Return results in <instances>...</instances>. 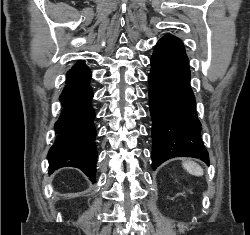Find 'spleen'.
<instances>
[{
    "instance_id": "obj_1",
    "label": "spleen",
    "mask_w": 250,
    "mask_h": 235,
    "mask_svg": "<svg viewBox=\"0 0 250 235\" xmlns=\"http://www.w3.org/2000/svg\"><path fill=\"white\" fill-rule=\"evenodd\" d=\"M182 165H183V168L192 175L202 176L204 173L203 169L195 162L186 161V162H183Z\"/></svg>"
}]
</instances>
